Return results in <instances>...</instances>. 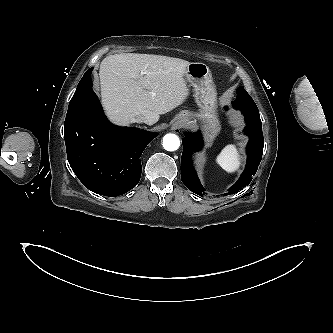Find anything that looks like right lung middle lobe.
Listing matches in <instances>:
<instances>
[{
    "mask_svg": "<svg viewBox=\"0 0 333 333\" xmlns=\"http://www.w3.org/2000/svg\"><path fill=\"white\" fill-rule=\"evenodd\" d=\"M92 70L93 69L91 68L84 74L83 78L81 79V81L79 82V84L77 86L76 92H75L74 96L72 97L70 104L75 101L76 95L84 88L87 79L90 77V75L92 73Z\"/></svg>",
    "mask_w": 333,
    "mask_h": 333,
    "instance_id": "obj_1",
    "label": "right lung middle lobe"
}]
</instances>
